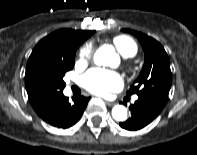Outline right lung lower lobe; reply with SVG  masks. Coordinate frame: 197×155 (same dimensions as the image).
<instances>
[{
	"mask_svg": "<svg viewBox=\"0 0 197 155\" xmlns=\"http://www.w3.org/2000/svg\"><path fill=\"white\" fill-rule=\"evenodd\" d=\"M89 99L83 96L73 97V102H69L62 93L39 116L54 127L69 128L80 119Z\"/></svg>",
	"mask_w": 197,
	"mask_h": 155,
	"instance_id": "right-lung-lower-lobe-1",
	"label": "right lung lower lobe"
}]
</instances>
